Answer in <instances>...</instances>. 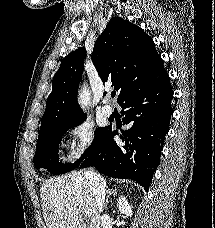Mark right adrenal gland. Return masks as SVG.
Instances as JSON below:
<instances>
[{
    "mask_svg": "<svg viewBox=\"0 0 215 228\" xmlns=\"http://www.w3.org/2000/svg\"><path fill=\"white\" fill-rule=\"evenodd\" d=\"M116 194H117V190H116V188H114V186H113V188H110V190H108V196H107V200H106L107 204H108V200H110L111 196H116Z\"/></svg>",
    "mask_w": 215,
    "mask_h": 228,
    "instance_id": "right-adrenal-gland-1",
    "label": "right adrenal gland"
}]
</instances>
